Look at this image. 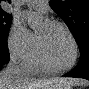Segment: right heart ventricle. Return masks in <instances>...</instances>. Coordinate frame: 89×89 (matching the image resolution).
I'll return each instance as SVG.
<instances>
[{
    "label": "right heart ventricle",
    "instance_id": "e07e8e85",
    "mask_svg": "<svg viewBox=\"0 0 89 89\" xmlns=\"http://www.w3.org/2000/svg\"><path fill=\"white\" fill-rule=\"evenodd\" d=\"M23 66L30 73H49L46 67L41 62L36 49L25 58Z\"/></svg>",
    "mask_w": 89,
    "mask_h": 89
}]
</instances>
